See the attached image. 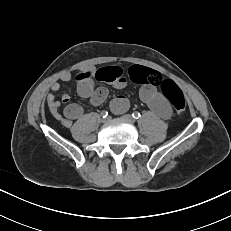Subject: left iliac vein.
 Masks as SVG:
<instances>
[{
  "label": "left iliac vein",
  "instance_id": "obj_1",
  "mask_svg": "<svg viewBox=\"0 0 231 231\" xmlns=\"http://www.w3.org/2000/svg\"><path fill=\"white\" fill-rule=\"evenodd\" d=\"M123 118L129 122H134V118L130 114L124 115Z\"/></svg>",
  "mask_w": 231,
  "mask_h": 231
}]
</instances>
